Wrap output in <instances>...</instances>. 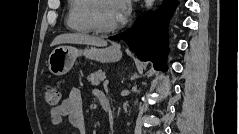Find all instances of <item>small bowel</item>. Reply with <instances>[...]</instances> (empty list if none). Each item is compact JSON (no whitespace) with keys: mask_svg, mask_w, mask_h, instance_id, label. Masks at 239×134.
I'll return each instance as SVG.
<instances>
[{"mask_svg":"<svg viewBox=\"0 0 239 134\" xmlns=\"http://www.w3.org/2000/svg\"><path fill=\"white\" fill-rule=\"evenodd\" d=\"M102 94L100 91H94V95L99 101ZM64 117L68 118L70 124L77 129L79 134L87 133L81 93L78 89H72L61 104L51 109L50 119L53 126L60 125Z\"/></svg>","mask_w":239,"mask_h":134,"instance_id":"small-bowel-1","label":"small bowel"}]
</instances>
